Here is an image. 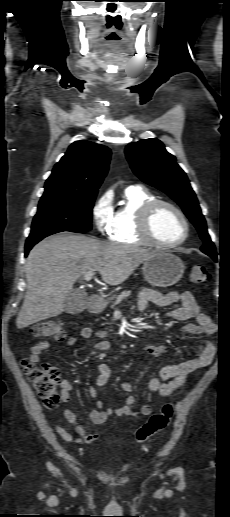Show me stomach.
<instances>
[{
    "label": "stomach",
    "instance_id": "obj_1",
    "mask_svg": "<svg viewBox=\"0 0 230 517\" xmlns=\"http://www.w3.org/2000/svg\"><path fill=\"white\" fill-rule=\"evenodd\" d=\"M185 266L182 260L169 252H155L143 262L145 280L153 287H168L176 284L183 276Z\"/></svg>",
    "mask_w": 230,
    "mask_h": 517
}]
</instances>
